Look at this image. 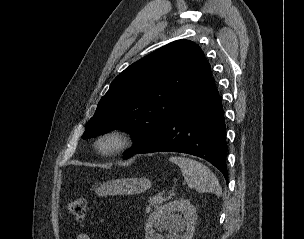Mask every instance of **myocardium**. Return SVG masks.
I'll use <instances>...</instances> for the list:
<instances>
[{
    "mask_svg": "<svg viewBox=\"0 0 304 239\" xmlns=\"http://www.w3.org/2000/svg\"><path fill=\"white\" fill-rule=\"evenodd\" d=\"M95 144L103 155L114 156L129 148L131 137L125 129L112 128L100 133Z\"/></svg>",
    "mask_w": 304,
    "mask_h": 239,
    "instance_id": "obj_1",
    "label": "myocardium"
}]
</instances>
